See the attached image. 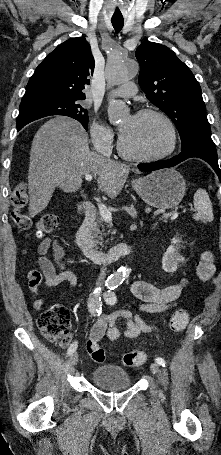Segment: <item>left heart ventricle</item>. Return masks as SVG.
<instances>
[{
    "label": "left heart ventricle",
    "mask_w": 221,
    "mask_h": 455,
    "mask_svg": "<svg viewBox=\"0 0 221 455\" xmlns=\"http://www.w3.org/2000/svg\"><path fill=\"white\" fill-rule=\"evenodd\" d=\"M123 145L139 155L159 153L169 146V132L163 121L154 115L127 117L121 123Z\"/></svg>",
    "instance_id": "obj_1"
}]
</instances>
